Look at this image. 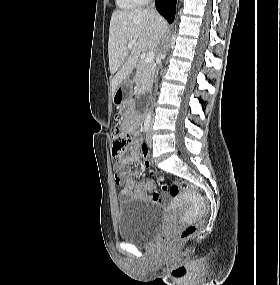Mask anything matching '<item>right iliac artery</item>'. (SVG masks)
<instances>
[{"label":"right iliac artery","instance_id":"obj_1","mask_svg":"<svg viewBox=\"0 0 280 285\" xmlns=\"http://www.w3.org/2000/svg\"><path fill=\"white\" fill-rule=\"evenodd\" d=\"M150 121H151V118L150 117H147L145 119V122H144V132H147L149 127H150Z\"/></svg>","mask_w":280,"mask_h":285}]
</instances>
